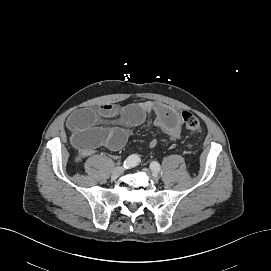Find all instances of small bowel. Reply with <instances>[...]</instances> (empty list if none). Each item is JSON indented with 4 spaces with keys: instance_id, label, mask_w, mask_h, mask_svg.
Instances as JSON below:
<instances>
[{
    "instance_id": "c3829d8e",
    "label": "small bowel",
    "mask_w": 271,
    "mask_h": 271,
    "mask_svg": "<svg viewBox=\"0 0 271 271\" xmlns=\"http://www.w3.org/2000/svg\"><path fill=\"white\" fill-rule=\"evenodd\" d=\"M148 114H154L156 124L166 131H173L182 122L181 115L176 110L144 102L123 108L104 105L97 110L80 109L70 115L67 126L71 131L72 144L86 156L101 146L114 151L123 147L130 135L129 128L142 124ZM107 119H114L124 127L99 126ZM151 146H154V143H151Z\"/></svg>"
}]
</instances>
